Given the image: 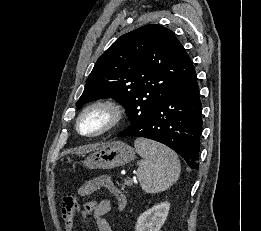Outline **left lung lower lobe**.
Masks as SVG:
<instances>
[{
	"instance_id": "0a47b994",
	"label": "left lung lower lobe",
	"mask_w": 261,
	"mask_h": 231,
	"mask_svg": "<svg viewBox=\"0 0 261 231\" xmlns=\"http://www.w3.org/2000/svg\"><path fill=\"white\" fill-rule=\"evenodd\" d=\"M201 100L196 71L158 104L141 123L117 136L144 137L173 149L191 168H198L202 132Z\"/></svg>"
}]
</instances>
